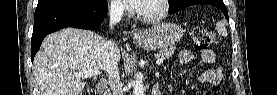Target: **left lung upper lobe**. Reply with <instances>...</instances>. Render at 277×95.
<instances>
[{
    "label": "left lung upper lobe",
    "mask_w": 277,
    "mask_h": 95,
    "mask_svg": "<svg viewBox=\"0 0 277 95\" xmlns=\"http://www.w3.org/2000/svg\"><path fill=\"white\" fill-rule=\"evenodd\" d=\"M187 0H170L169 10L174 9L185 3Z\"/></svg>",
    "instance_id": "1"
}]
</instances>
